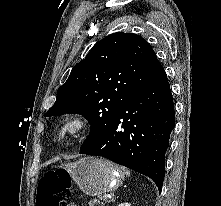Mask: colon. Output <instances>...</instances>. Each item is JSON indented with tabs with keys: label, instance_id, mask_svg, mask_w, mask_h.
Listing matches in <instances>:
<instances>
[{
	"label": "colon",
	"instance_id": "1",
	"mask_svg": "<svg viewBox=\"0 0 221 206\" xmlns=\"http://www.w3.org/2000/svg\"><path fill=\"white\" fill-rule=\"evenodd\" d=\"M69 178L63 171L48 172L39 182L37 206H68Z\"/></svg>",
	"mask_w": 221,
	"mask_h": 206
}]
</instances>
